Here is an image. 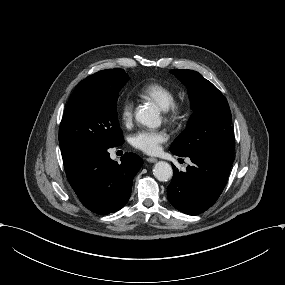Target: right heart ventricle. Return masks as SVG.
Segmentation results:
<instances>
[{"instance_id":"right-heart-ventricle-1","label":"right heart ventricle","mask_w":285,"mask_h":285,"mask_svg":"<svg viewBox=\"0 0 285 285\" xmlns=\"http://www.w3.org/2000/svg\"><path fill=\"white\" fill-rule=\"evenodd\" d=\"M138 96L155 103L160 108L166 107L175 98L172 87L160 81H151L142 86L138 91Z\"/></svg>"}]
</instances>
